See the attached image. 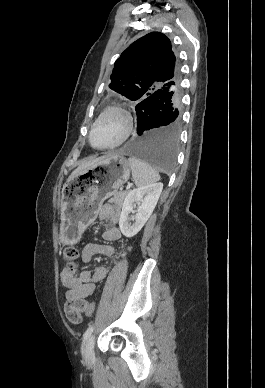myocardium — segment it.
<instances>
[{
    "instance_id": "1",
    "label": "myocardium",
    "mask_w": 265,
    "mask_h": 388,
    "mask_svg": "<svg viewBox=\"0 0 265 388\" xmlns=\"http://www.w3.org/2000/svg\"><path fill=\"white\" fill-rule=\"evenodd\" d=\"M117 113L119 115L122 116L123 118V121H124V126H123V130H122V133L121 135L119 136L118 140L111 144V145H106V146H96L94 144V141H93V133H94V129L95 127L97 126V124L100 122V120L108 113ZM132 125H133V120H132V117L130 115V113L122 108V107H119V106H110L108 108H106L99 116L98 118L95 120V122L93 123L92 125V128H91V131L89 133V142L94 146V147H97V148H100V149H112V148H116L120 145H122L129 137V134H130V131L132 129Z\"/></svg>"
}]
</instances>
